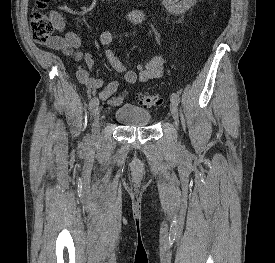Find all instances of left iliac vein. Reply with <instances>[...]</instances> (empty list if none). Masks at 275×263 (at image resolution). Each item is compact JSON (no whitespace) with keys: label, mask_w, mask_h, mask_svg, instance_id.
<instances>
[{"label":"left iliac vein","mask_w":275,"mask_h":263,"mask_svg":"<svg viewBox=\"0 0 275 263\" xmlns=\"http://www.w3.org/2000/svg\"><path fill=\"white\" fill-rule=\"evenodd\" d=\"M170 111H171V115L174 119V123L177 126L178 121H179V113H178L177 105L173 102L170 104Z\"/></svg>","instance_id":"obj_1"}]
</instances>
